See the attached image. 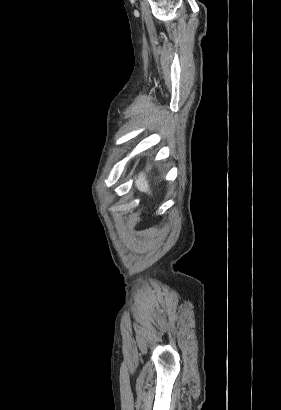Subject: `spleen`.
Listing matches in <instances>:
<instances>
[{
  "label": "spleen",
  "instance_id": "obj_1",
  "mask_svg": "<svg viewBox=\"0 0 281 410\" xmlns=\"http://www.w3.org/2000/svg\"><path fill=\"white\" fill-rule=\"evenodd\" d=\"M135 185L139 191L150 193L149 184L146 179V176L143 173H140L135 181Z\"/></svg>",
  "mask_w": 281,
  "mask_h": 410
}]
</instances>
